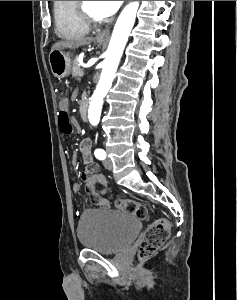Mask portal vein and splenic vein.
<instances>
[{
	"label": "portal vein and splenic vein",
	"mask_w": 237,
	"mask_h": 300,
	"mask_svg": "<svg viewBox=\"0 0 237 300\" xmlns=\"http://www.w3.org/2000/svg\"><path fill=\"white\" fill-rule=\"evenodd\" d=\"M78 71L80 72V73H78V76H80V77H82V76H84V71L82 70V68H78Z\"/></svg>",
	"instance_id": "1"
}]
</instances>
